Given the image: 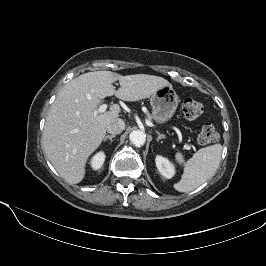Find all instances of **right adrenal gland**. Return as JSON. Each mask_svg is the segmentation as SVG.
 I'll return each mask as SVG.
<instances>
[{
    "label": "right adrenal gland",
    "instance_id": "right-adrenal-gland-1",
    "mask_svg": "<svg viewBox=\"0 0 266 266\" xmlns=\"http://www.w3.org/2000/svg\"><path fill=\"white\" fill-rule=\"evenodd\" d=\"M114 137H116L115 134H113V135H107V136H105V138L103 139V141L106 142L107 140H110V142L112 143V142H113L112 139H113Z\"/></svg>",
    "mask_w": 266,
    "mask_h": 266
}]
</instances>
